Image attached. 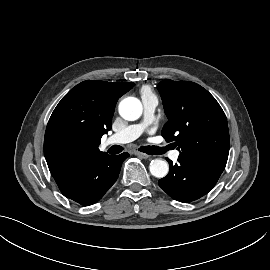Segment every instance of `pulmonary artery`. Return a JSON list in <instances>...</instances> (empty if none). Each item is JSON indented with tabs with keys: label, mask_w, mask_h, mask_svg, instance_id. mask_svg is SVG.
I'll list each match as a JSON object with an SVG mask.
<instances>
[{
	"label": "pulmonary artery",
	"mask_w": 270,
	"mask_h": 270,
	"mask_svg": "<svg viewBox=\"0 0 270 270\" xmlns=\"http://www.w3.org/2000/svg\"><path fill=\"white\" fill-rule=\"evenodd\" d=\"M142 104L144 108V117L143 120L138 124H132L118 133L113 134L108 139V144H123L136 140L141 135H143L148 126L155 119V110L158 105V99L155 95L141 96ZM180 151L174 150L170 157L172 160L176 161L179 158Z\"/></svg>",
	"instance_id": "pulmonary-artery-1"
}]
</instances>
